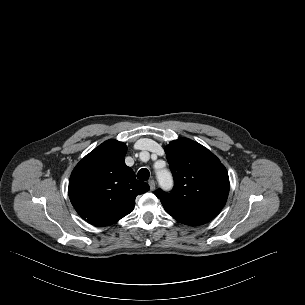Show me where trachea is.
Here are the masks:
<instances>
[{
  "label": "trachea",
  "mask_w": 305,
  "mask_h": 305,
  "mask_svg": "<svg viewBox=\"0 0 305 305\" xmlns=\"http://www.w3.org/2000/svg\"><path fill=\"white\" fill-rule=\"evenodd\" d=\"M137 178L143 181H147L149 179V171L146 168H142L137 173Z\"/></svg>",
  "instance_id": "obj_1"
}]
</instances>
